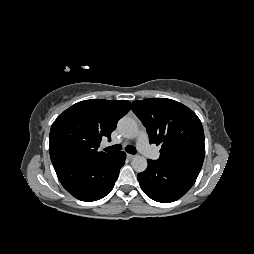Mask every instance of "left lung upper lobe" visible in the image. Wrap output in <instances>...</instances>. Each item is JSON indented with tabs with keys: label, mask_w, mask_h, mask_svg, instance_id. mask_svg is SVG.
<instances>
[{
	"label": "left lung upper lobe",
	"mask_w": 254,
	"mask_h": 254,
	"mask_svg": "<svg viewBox=\"0 0 254 254\" xmlns=\"http://www.w3.org/2000/svg\"><path fill=\"white\" fill-rule=\"evenodd\" d=\"M132 110L146 127L150 143L161 145L157 162L201 170L205 155L204 131L192 110L166 98L134 101Z\"/></svg>",
	"instance_id": "left-lung-upper-lobe-1"
}]
</instances>
